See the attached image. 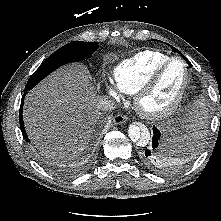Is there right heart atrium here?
<instances>
[{"mask_svg":"<svg viewBox=\"0 0 221 221\" xmlns=\"http://www.w3.org/2000/svg\"><path fill=\"white\" fill-rule=\"evenodd\" d=\"M104 88L105 92L115 100H120L123 97V91L113 81L105 82Z\"/></svg>","mask_w":221,"mask_h":221,"instance_id":"right-heart-atrium-1","label":"right heart atrium"}]
</instances>
